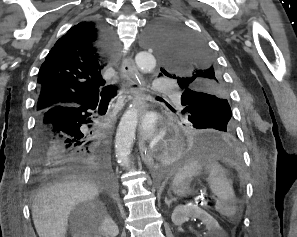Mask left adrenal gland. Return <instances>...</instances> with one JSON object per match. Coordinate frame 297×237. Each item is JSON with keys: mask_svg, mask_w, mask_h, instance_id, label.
Returning <instances> with one entry per match:
<instances>
[{"mask_svg": "<svg viewBox=\"0 0 297 237\" xmlns=\"http://www.w3.org/2000/svg\"><path fill=\"white\" fill-rule=\"evenodd\" d=\"M168 195L170 196L171 199L168 200L167 198H165V203H166L167 206L169 207L170 204H171L173 201H176V199L172 197L171 192H168Z\"/></svg>", "mask_w": 297, "mask_h": 237, "instance_id": "left-adrenal-gland-1", "label": "left adrenal gland"}]
</instances>
